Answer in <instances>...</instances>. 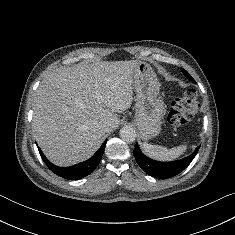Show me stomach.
I'll list each match as a JSON object with an SVG mask.
<instances>
[{"instance_id": "stomach-1", "label": "stomach", "mask_w": 235, "mask_h": 235, "mask_svg": "<svg viewBox=\"0 0 235 235\" xmlns=\"http://www.w3.org/2000/svg\"><path fill=\"white\" fill-rule=\"evenodd\" d=\"M136 91V114L134 123L143 140L157 136L161 130V119L165 115L164 103L157 98L160 83L152 68L141 62L134 75Z\"/></svg>"}]
</instances>
